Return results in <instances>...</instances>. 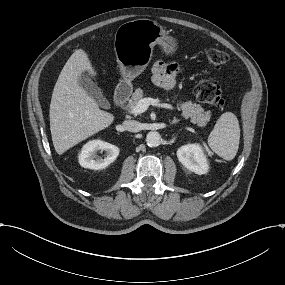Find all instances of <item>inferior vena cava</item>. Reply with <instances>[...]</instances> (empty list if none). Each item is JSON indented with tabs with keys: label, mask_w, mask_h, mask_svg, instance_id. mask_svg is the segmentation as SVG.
Here are the masks:
<instances>
[{
	"label": "inferior vena cava",
	"mask_w": 285,
	"mask_h": 285,
	"mask_svg": "<svg viewBox=\"0 0 285 285\" xmlns=\"http://www.w3.org/2000/svg\"><path fill=\"white\" fill-rule=\"evenodd\" d=\"M122 127L125 129V131L139 132L141 129V124L135 120H124L122 122Z\"/></svg>",
	"instance_id": "inferior-vena-cava-1"
}]
</instances>
